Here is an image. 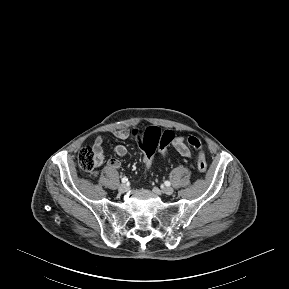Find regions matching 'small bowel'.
I'll return each mask as SVG.
<instances>
[{
    "label": "small bowel",
    "mask_w": 289,
    "mask_h": 289,
    "mask_svg": "<svg viewBox=\"0 0 289 289\" xmlns=\"http://www.w3.org/2000/svg\"><path fill=\"white\" fill-rule=\"evenodd\" d=\"M113 135L119 140H125L130 136V131L126 129L116 130ZM173 146L182 157L191 158V151L182 137L175 138ZM94 150L99 156V165H101L104 162L103 139L101 136H98L95 139ZM113 151L118 156H125L128 153L127 147L123 144L115 145ZM107 164L109 167L114 169H118L121 166V162L115 158L109 159Z\"/></svg>",
    "instance_id": "1"
}]
</instances>
